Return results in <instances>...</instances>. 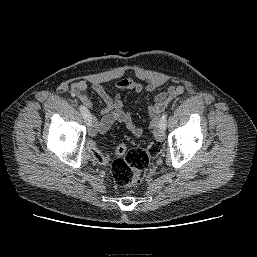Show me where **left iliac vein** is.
<instances>
[{
    "label": "left iliac vein",
    "mask_w": 257,
    "mask_h": 257,
    "mask_svg": "<svg viewBox=\"0 0 257 257\" xmlns=\"http://www.w3.org/2000/svg\"><path fill=\"white\" fill-rule=\"evenodd\" d=\"M156 137L159 140H164L165 139V129L159 127L157 132H156Z\"/></svg>",
    "instance_id": "obj_1"
}]
</instances>
